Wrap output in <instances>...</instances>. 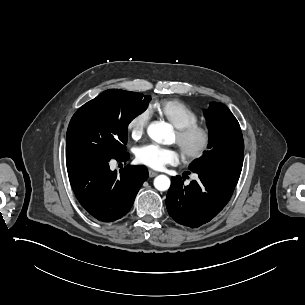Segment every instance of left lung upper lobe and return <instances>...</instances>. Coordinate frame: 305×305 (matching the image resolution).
<instances>
[{
	"label": "left lung upper lobe",
	"instance_id": "obj_1",
	"mask_svg": "<svg viewBox=\"0 0 305 305\" xmlns=\"http://www.w3.org/2000/svg\"><path fill=\"white\" fill-rule=\"evenodd\" d=\"M209 128V151L193 161L190 168L236 167L242 169L244 142L240 125L222 103L211 102L205 111Z\"/></svg>",
	"mask_w": 305,
	"mask_h": 305
}]
</instances>
